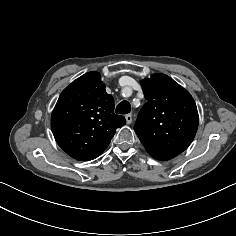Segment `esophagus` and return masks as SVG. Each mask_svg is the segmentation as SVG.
Returning <instances> with one entry per match:
<instances>
[{"label":"esophagus","instance_id":"34e87169","mask_svg":"<svg viewBox=\"0 0 236 236\" xmlns=\"http://www.w3.org/2000/svg\"><path fill=\"white\" fill-rule=\"evenodd\" d=\"M125 119H126L127 124H131L132 123V114L125 115Z\"/></svg>","mask_w":236,"mask_h":236}]
</instances>
